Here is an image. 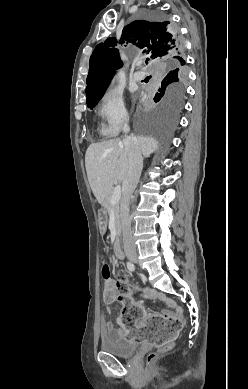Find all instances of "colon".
<instances>
[{"label":"colon","mask_w":248,"mask_h":389,"mask_svg":"<svg viewBox=\"0 0 248 389\" xmlns=\"http://www.w3.org/2000/svg\"><path fill=\"white\" fill-rule=\"evenodd\" d=\"M114 273L120 281L128 280L129 284L133 283V280L130 279V273H125L121 269H116ZM103 275L109 282L110 269L108 264L103 266ZM129 295L128 289L109 285L103 292V299L106 302L119 300L124 304L119 315V322L122 330L131 332L127 334L128 340H135L137 344H163L157 352L148 356V363L151 365L159 354L167 352L175 344L176 339L171 336L179 332L182 323L177 317H164L156 312L155 315L146 319V326H135L136 322H143L146 313L141 311V305L133 304L135 298Z\"/></svg>","instance_id":"colon-1"}]
</instances>
